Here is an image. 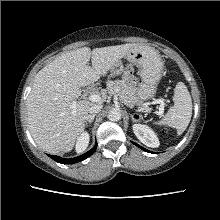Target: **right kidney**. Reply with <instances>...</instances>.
<instances>
[{
  "mask_svg": "<svg viewBox=\"0 0 220 220\" xmlns=\"http://www.w3.org/2000/svg\"><path fill=\"white\" fill-rule=\"evenodd\" d=\"M89 144V134L87 132H83L77 140L76 143V152L81 153L85 151Z\"/></svg>",
  "mask_w": 220,
  "mask_h": 220,
  "instance_id": "1",
  "label": "right kidney"
}]
</instances>
